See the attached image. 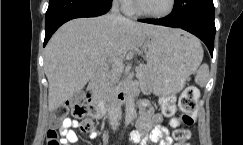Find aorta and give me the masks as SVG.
<instances>
[{
  "label": "aorta",
  "instance_id": "aorta-1",
  "mask_svg": "<svg viewBox=\"0 0 243 145\" xmlns=\"http://www.w3.org/2000/svg\"><path fill=\"white\" fill-rule=\"evenodd\" d=\"M125 113L127 120H133L136 114L135 100L133 94H129L126 99Z\"/></svg>",
  "mask_w": 243,
  "mask_h": 145
}]
</instances>
